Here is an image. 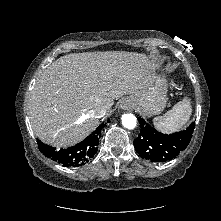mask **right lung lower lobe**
Returning a JSON list of instances; mask_svg holds the SVG:
<instances>
[{
    "instance_id": "obj_1",
    "label": "right lung lower lobe",
    "mask_w": 221,
    "mask_h": 221,
    "mask_svg": "<svg viewBox=\"0 0 221 221\" xmlns=\"http://www.w3.org/2000/svg\"><path fill=\"white\" fill-rule=\"evenodd\" d=\"M104 126L105 124H101L95 132L89 135L81 143L59 151L37 140L39 150L45 156L62 164L64 167H78L84 165L89 162L98 151L99 138Z\"/></svg>"
}]
</instances>
